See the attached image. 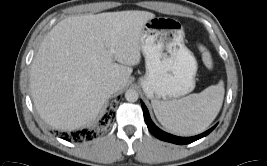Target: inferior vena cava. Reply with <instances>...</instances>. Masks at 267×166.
<instances>
[{"mask_svg": "<svg viewBox=\"0 0 267 166\" xmlns=\"http://www.w3.org/2000/svg\"><path fill=\"white\" fill-rule=\"evenodd\" d=\"M118 85L115 82H109L106 84V91L110 94H113L114 92L118 91Z\"/></svg>", "mask_w": 267, "mask_h": 166, "instance_id": "1", "label": "inferior vena cava"}]
</instances>
